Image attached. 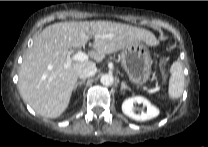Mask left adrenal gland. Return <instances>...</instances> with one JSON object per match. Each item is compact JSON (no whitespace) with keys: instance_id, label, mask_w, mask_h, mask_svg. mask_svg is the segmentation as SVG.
Segmentation results:
<instances>
[{"instance_id":"1","label":"left adrenal gland","mask_w":208,"mask_h":147,"mask_svg":"<svg viewBox=\"0 0 208 147\" xmlns=\"http://www.w3.org/2000/svg\"><path fill=\"white\" fill-rule=\"evenodd\" d=\"M125 89L131 91V88L128 87L124 81H122L121 82V90H125Z\"/></svg>"}]
</instances>
